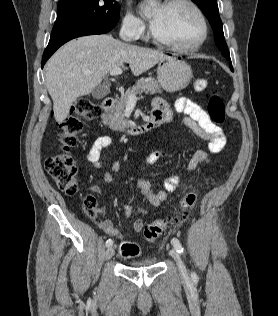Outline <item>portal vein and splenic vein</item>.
I'll list each match as a JSON object with an SVG mask.
<instances>
[{
    "instance_id": "1",
    "label": "portal vein and splenic vein",
    "mask_w": 278,
    "mask_h": 316,
    "mask_svg": "<svg viewBox=\"0 0 278 316\" xmlns=\"http://www.w3.org/2000/svg\"><path fill=\"white\" fill-rule=\"evenodd\" d=\"M120 74H122V69L121 68H115V69L110 71V75H120ZM136 101H137L136 95H130L128 97V102L136 103Z\"/></svg>"
}]
</instances>
